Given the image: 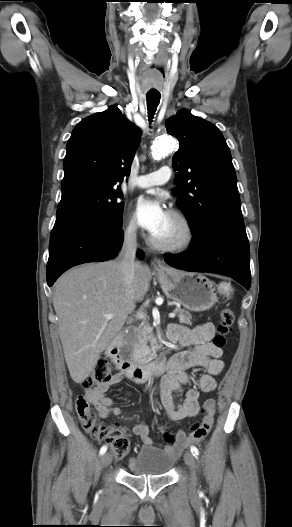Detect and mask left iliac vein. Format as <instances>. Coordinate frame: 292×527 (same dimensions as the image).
I'll return each mask as SVG.
<instances>
[{"instance_id": "obj_1", "label": "left iliac vein", "mask_w": 292, "mask_h": 527, "mask_svg": "<svg viewBox=\"0 0 292 527\" xmlns=\"http://www.w3.org/2000/svg\"><path fill=\"white\" fill-rule=\"evenodd\" d=\"M184 461L190 470L189 488L190 490H194L196 487V482H197L196 471H195V457L191 452L187 451L184 454Z\"/></svg>"}]
</instances>
